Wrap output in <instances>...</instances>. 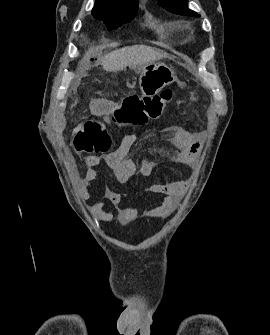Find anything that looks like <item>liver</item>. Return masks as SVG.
I'll use <instances>...</instances> for the list:
<instances>
[{
  "mask_svg": "<svg viewBox=\"0 0 270 335\" xmlns=\"http://www.w3.org/2000/svg\"><path fill=\"white\" fill-rule=\"evenodd\" d=\"M165 56H167L166 52L150 48V46H126V48H120V50L107 54L100 62L106 72H117L127 66L133 70H141L144 64L155 62Z\"/></svg>",
  "mask_w": 270,
  "mask_h": 335,
  "instance_id": "6515ba94",
  "label": "liver"
}]
</instances>
